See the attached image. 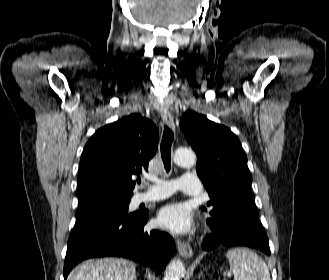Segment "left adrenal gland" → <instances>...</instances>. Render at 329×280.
Segmentation results:
<instances>
[{
    "label": "left adrenal gland",
    "mask_w": 329,
    "mask_h": 280,
    "mask_svg": "<svg viewBox=\"0 0 329 280\" xmlns=\"http://www.w3.org/2000/svg\"><path fill=\"white\" fill-rule=\"evenodd\" d=\"M203 276V270L200 272L198 279H200Z\"/></svg>",
    "instance_id": "left-adrenal-gland-1"
}]
</instances>
